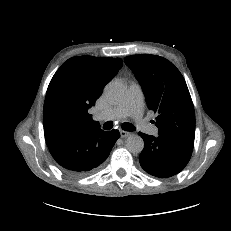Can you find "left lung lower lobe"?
<instances>
[{
	"label": "left lung lower lobe",
	"instance_id": "0a47b994",
	"mask_svg": "<svg viewBox=\"0 0 231 231\" xmlns=\"http://www.w3.org/2000/svg\"><path fill=\"white\" fill-rule=\"evenodd\" d=\"M138 134L145 143L139 162L147 173L159 178L171 177L189 162L194 141L169 135L154 137L141 132Z\"/></svg>",
	"mask_w": 231,
	"mask_h": 231
}]
</instances>
